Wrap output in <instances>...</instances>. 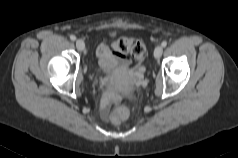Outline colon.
<instances>
[{
  "label": "colon",
  "mask_w": 238,
  "mask_h": 158,
  "mask_svg": "<svg viewBox=\"0 0 238 158\" xmlns=\"http://www.w3.org/2000/svg\"><path fill=\"white\" fill-rule=\"evenodd\" d=\"M115 51L119 55L130 54L134 59L140 60L145 54L144 44L135 39L121 37L113 45ZM129 116V109L125 105L115 107L110 115V122L114 125L121 124Z\"/></svg>",
  "instance_id": "obj_1"
}]
</instances>
